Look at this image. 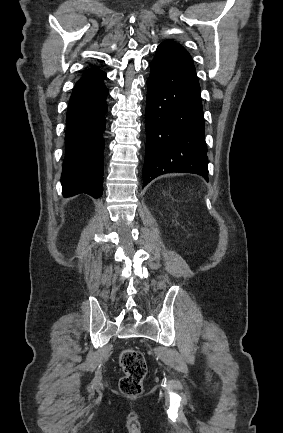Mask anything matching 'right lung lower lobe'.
<instances>
[{"label":"right lung lower lobe","instance_id":"right-lung-lower-lobe-1","mask_svg":"<svg viewBox=\"0 0 283 433\" xmlns=\"http://www.w3.org/2000/svg\"><path fill=\"white\" fill-rule=\"evenodd\" d=\"M106 74L79 80L69 101L66 118V156L62 171V193L69 197L86 193L94 198L103 194L102 133L107 112Z\"/></svg>","mask_w":283,"mask_h":433}]
</instances>
